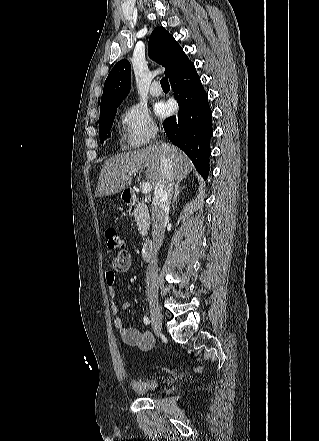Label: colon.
Instances as JSON below:
<instances>
[{
	"label": "colon",
	"instance_id": "5ec220e1",
	"mask_svg": "<svg viewBox=\"0 0 319 441\" xmlns=\"http://www.w3.org/2000/svg\"><path fill=\"white\" fill-rule=\"evenodd\" d=\"M105 236L107 239V247L110 250H117L123 247L124 241L119 232L113 228L109 227L105 231Z\"/></svg>",
	"mask_w": 319,
	"mask_h": 441
}]
</instances>
